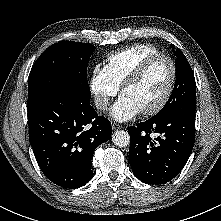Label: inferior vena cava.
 <instances>
[{
  "mask_svg": "<svg viewBox=\"0 0 221 221\" xmlns=\"http://www.w3.org/2000/svg\"><path fill=\"white\" fill-rule=\"evenodd\" d=\"M94 104L97 109L107 110L108 109V100L103 96H95Z\"/></svg>",
  "mask_w": 221,
  "mask_h": 221,
  "instance_id": "1",
  "label": "inferior vena cava"
}]
</instances>
